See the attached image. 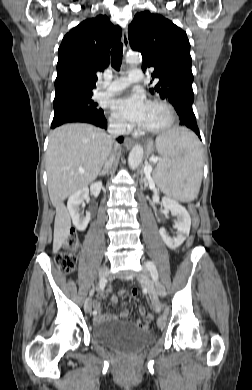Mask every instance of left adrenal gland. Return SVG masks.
Returning <instances> with one entry per match:
<instances>
[{
    "instance_id": "left-adrenal-gland-1",
    "label": "left adrenal gland",
    "mask_w": 252,
    "mask_h": 390,
    "mask_svg": "<svg viewBox=\"0 0 252 390\" xmlns=\"http://www.w3.org/2000/svg\"><path fill=\"white\" fill-rule=\"evenodd\" d=\"M143 175H141V182H144V186L147 187L149 185V181L147 180V178H142Z\"/></svg>"
}]
</instances>
